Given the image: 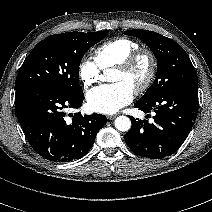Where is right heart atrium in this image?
<instances>
[{
  "instance_id": "right-heart-atrium-1",
  "label": "right heart atrium",
  "mask_w": 212,
  "mask_h": 212,
  "mask_svg": "<svg viewBox=\"0 0 212 212\" xmlns=\"http://www.w3.org/2000/svg\"><path fill=\"white\" fill-rule=\"evenodd\" d=\"M101 76V68L95 60L83 58L78 65V77L83 87L88 88L97 83Z\"/></svg>"
}]
</instances>
